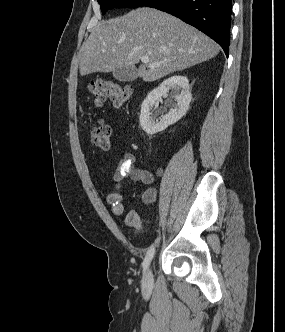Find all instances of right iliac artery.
<instances>
[{
	"instance_id": "82829eb1",
	"label": "right iliac artery",
	"mask_w": 285,
	"mask_h": 332,
	"mask_svg": "<svg viewBox=\"0 0 285 332\" xmlns=\"http://www.w3.org/2000/svg\"><path fill=\"white\" fill-rule=\"evenodd\" d=\"M159 241H160V238L157 239L155 243H158ZM154 253H155V247H154V245H152L150 247V249L148 250V252L145 256V259L143 261V264H142L144 273L146 272V270H147V268H148V266H149V264H150V262H151V260L154 256Z\"/></svg>"
}]
</instances>
